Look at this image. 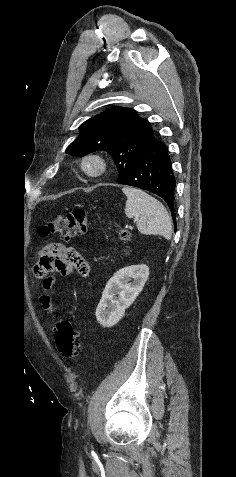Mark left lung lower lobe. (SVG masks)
I'll return each instance as SVG.
<instances>
[{"label":"left lung lower lobe","mask_w":236,"mask_h":477,"mask_svg":"<svg viewBox=\"0 0 236 477\" xmlns=\"http://www.w3.org/2000/svg\"><path fill=\"white\" fill-rule=\"evenodd\" d=\"M119 184L134 186L160 196L168 205L174 225L175 178L168 149L153 139L151 144L133 160L127 176Z\"/></svg>","instance_id":"obj_1"}]
</instances>
